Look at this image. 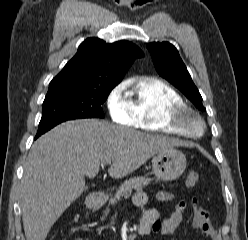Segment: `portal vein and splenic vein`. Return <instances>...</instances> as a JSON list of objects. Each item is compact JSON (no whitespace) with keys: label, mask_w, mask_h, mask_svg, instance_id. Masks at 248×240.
<instances>
[{"label":"portal vein and splenic vein","mask_w":248,"mask_h":240,"mask_svg":"<svg viewBox=\"0 0 248 240\" xmlns=\"http://www.w3.org/2000/svg\"><path fill=\"white\" fill-rule=\"evenodd\" d=\"M108 164H111V160L103 161V165H108Z\"/></svg>","instance_id":"18ae733b"}]
</instances>
